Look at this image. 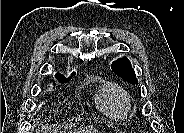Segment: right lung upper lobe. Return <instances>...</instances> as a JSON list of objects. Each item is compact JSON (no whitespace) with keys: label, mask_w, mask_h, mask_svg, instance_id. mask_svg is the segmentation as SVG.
Here are the masks:
<instances>
[{"label":"right lung upper lobe","mask_w":184,"mask_h":133,"mask_svg":"<svg viewBox=\"0 0 184 133\" xmlns=\"http://www.w3.org/2000/svg\"><path fill=\"white\" fill-rule=\"evenodd\" d=\"M75 73H72L71 76L69 78H65L64 75L60 74V73H57L55 74V77L56 79L59 81V82H64V81H67V80H70L72 76H74Z\"/></svg>","instance_id":"1"}]
</instances>
